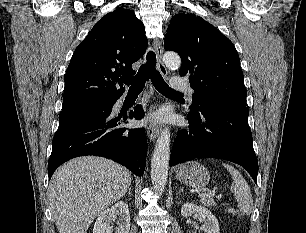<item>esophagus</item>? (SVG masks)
Listing matches in <instances>:
<instances>
[{
    "mask_svg": "<svg viewBox=\"0 0 306 233\" xmlns=\"http://www.w3.org/2000/svg\"><path fill=\"white\" fill-rule=\"evenodd\" d=\"M153 45H154V50L156 53L157 68L164 76H167L168 70L166 66L164 65L163 59H162V56H163L162 42L160 41L159 38H155L153 41ZM159 132H160V129H159V126L157 125H149L147 127V135L150 141H155V139L159 135Z\"/></svg>",
    "mask_w": 306,
    "mask_h": 233,
    "instance_id": "34e87169",
    "label": "esophagus"
}]
</instances>
